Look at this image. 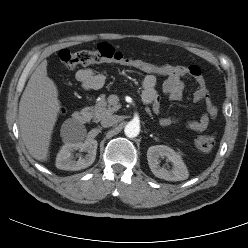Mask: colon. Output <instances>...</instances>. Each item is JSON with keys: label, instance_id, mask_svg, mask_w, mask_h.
Returning a JSON list of instances; mask_svg holds the SVG:
<instances>
[{"label": "colon", "instance_id": "colon-1", "mask_svg": "<svg viewBox=\"0 0 248 248\" xmlns=\"http://www.w3.org/2000/svg\"><path fill=\"white\" fill-rule=\"evenodd\" d=\"M59 59L67 69H75L78 66H88L99 63H116L134 68L145 74H159L161 71V65L143 59L125 56L122 52L105 42L99 43L94 49L89 50H61L59 52ZM214 144V135H202L195 140L196 147L203 152L211 151Z\"/></svg>", "mask_w": 248, "mask_h": 248}]
</instances>
